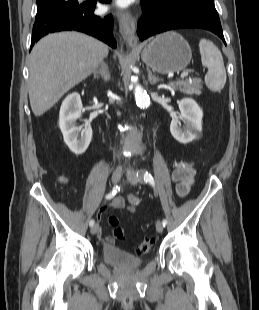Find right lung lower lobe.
<instances>
[{"label": "right lung lower lobe", "instance_id": "obj_1", "mask_svg": "<svg viewBox=\"0 0 259 310\" xmlns=\"http://www.w3.org/2000/svg\"><path fill=\"white\" fill-rule=\"evenodd\" d=\"M99 1L109 2V0ZM95 6V3L85 2L74 8L50 10L41 15H36L30 50L34 43L43 36L63 30L84 32L115 48L116 41L112 34V15H107L106 17L94 15Z\"/></svg>", "mask_w": 259, "mask_h": 310}]
</instances>
